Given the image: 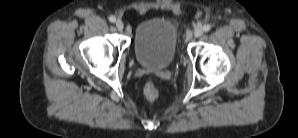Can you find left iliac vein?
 <instances>
[{
    "instance_id": "left-iliac-vein-1",
    "label": "left iliac vein",
    "mask_w": 298,
    "mask_h": 138,
    "mask_svg": "<svg viewBox=\"0 0 298 138\" xmlns=\"http://www.w3.org/2000/svg\"><path fill=\"white\" fill-rule=\"evenodd\" d=\"M202 34H203V29H202L201 27H197V28L194 30V36H195V37H200Z\"/></svg>"
}]
</instances>
